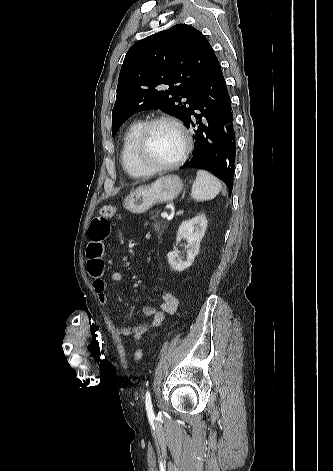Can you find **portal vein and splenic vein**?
Instances as JSON below:
<instances>
[{
	"mask_svg": "<svg viewBox=\"0 0 333 471\" xmlns=\"http://www.w3.org/2000/svg\"><path fill=\"white\" fill-rule=\"evenodd\" d=\"M161 217L169 219V215L166 212L161 213Z\"/></svg>",
	"mask_w": 333,
	"mask_h": 471,
	"instance_id": "obj_1",
	"label": "portal vein and splenic vein"
}]
</instances>
